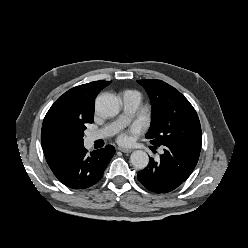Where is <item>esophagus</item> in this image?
<instances>
[{"instance_id": "obj_1", "label": "esophagus", "mask_w": 248, "mask_h": 248, "mask_svg": "<svg viewBox=\"0 0 248 248\" xmlns=\"http://www.w3.org/2000/svg\"><path fill=\"white\" fill-rule=\"evenodd\" d=\"M118 150H120L123 153H131L133 151L130 148H123V147H119Z\"/></svg>"}]
</instances>
